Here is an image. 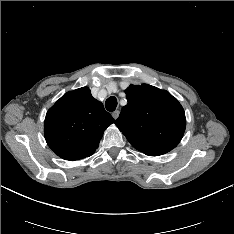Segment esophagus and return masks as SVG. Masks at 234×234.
Here are the masks:
<instances>
[{
    "label": "esophagus",
    "instance_id": "34e87169",
    "mask_svg": "<svg viewBox=\"0 0 234 234\" xmlns=\"http://www.w3.org/2000/svg\"><path fill=\"white\" fill-rule=\"evenodd\" d=\"M119 114H120L119 110H116V111H114V112L112 113V116H113V118L116 120V119L118 118Z\"/></svg>",
    "mask_w": 234,
    "mask_h": 234
}]
</instances>
